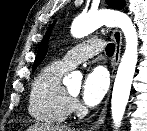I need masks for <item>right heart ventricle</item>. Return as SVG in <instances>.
<instances>
[{"label": "right heart ventricle", "instance_id": "obj_1", "mask_svg": "<svg viewBox=\"0 0 147 131\" xmlns=\"http://www.w3.org/2000/svg\"><path fill=\"white\" fill-rule=\"evenodd\" d=\"M68 70L56 61L44 66L35 77L30 90L28 111L36 121L59 124L66 120L71 98L61 80Z\"/></svg>", "mask_w": 147, "mask_h": 131}]
</instances>
